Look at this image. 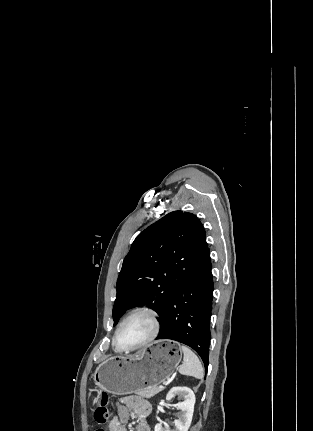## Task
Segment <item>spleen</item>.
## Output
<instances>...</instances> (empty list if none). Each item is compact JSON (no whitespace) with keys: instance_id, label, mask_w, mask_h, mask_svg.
<instances>
[{"instance_id":"obj_1","label":"spleen","mask_w":313,"mask_h":431,"mask_svg":"<svg viewBox=\"0 0 313 431\" xmlns=\"http://www.w3.org/2000/svg\"><path fill=\"white\" fill-rule=\"evenodd\" d=\"M180 350L183 352L184 358L183 364L178 368L179 373L202 379L204 377V369L196 354L186 346H181Z\"/></svg>"}]
</instances>
